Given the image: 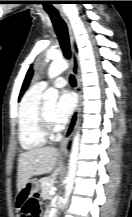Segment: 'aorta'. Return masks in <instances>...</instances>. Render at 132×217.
Listing matches in <instances>:
<instances>
[{
    "label": "aorta",
    "instance_id": "aorta-1",
    "mask_svg": "<svg viewBox=\"0 0 132 217\" xmlns=\"http://www.w3.org/2000/svg\"><path fill=\"white\" fill-rule=\"evenodd\" d=\"M68 68V63L65 60H54L48 70V77L50 79H53L60 75L64 70ZM43 99L45 104L49 105H55L58 99V91L50 87L48 88L44 94ZM79 141H80V133L79 131L76 132L73 142H72V148L70 152L69 157V171H68V180L73 181L76 175L77 170V161L79 156ZM63 203H66V199L63 201Z\"/></svg>",
    "mask_w": 132,
    "mask_h": 217
}]
</instances>
